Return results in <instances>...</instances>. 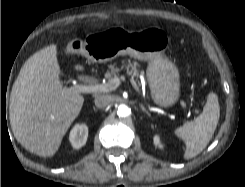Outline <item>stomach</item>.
<instances>
[{
    "label": "stomach",
    "mask_w": 245,
    "mask_h": 187,
    "mask_svg": "<svg viewBox=\"0 0 245 187\" xmlns=\"http://www.w3.org/2000/svg\"><path fill=\"white\" fill-rule=\"evenodd\" d=\"M169 37L161 29L147 28L136 32L121 27L74 39L68 50L92 62L104 63L120 55L148 61L147 80L153 101L163 107L176 103L180 95L179 71L165 55Z\"/></svg>",
    "instance_id": "obj_1"
}]
</instances>
